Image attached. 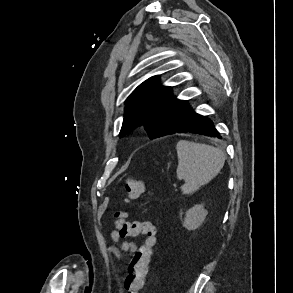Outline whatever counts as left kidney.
I'll use <instances>...</instances> for the list:
<instances>
[{"label": "left kidney", "mask_w": 293, "mask_h": 293, "mask_svg": "<svg viewBox=\"0 0 293 293\" xmlns=\"http://www.w3.org/2000/svg\"><path fill=\"white\" fill-rule=\"evenodd\" d=\"M207 214L208 212L203 205H195L186 212L182 225L189 231L196 230L204 222Z\"/></svg>", "instance_id": "1"}]
</instances>
